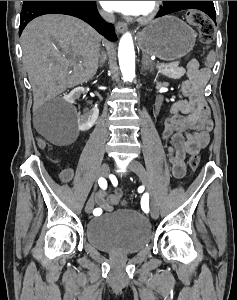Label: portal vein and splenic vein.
Returning a JSON list of instances; mask_svg holds the SVG:
<instances>
[{
	"instance_id": "18ae733b",
	"label": "portal vein and splenic vein",
	"mask_w": 237,
	"mask_h": 300,
	"mask_svg": "<svg viewBox=\"0 0 237 300\" xmlns=\"http://www.w3.org/2000/svg\"><path fill=\"white\" fill-rule=\"evenodd\" d=\"M180 63H181L180 61L174 60V61H171V65H169L168 67L176 69L178 67L177 64H180ZM157 67L161 68V65H158ZM162 67H167V66H162Z\"/></svg>"
}]
</instances>
